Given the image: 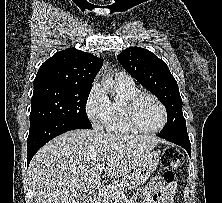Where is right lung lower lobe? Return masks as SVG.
<instances>
[{"instance_id": "1", "label": "right lung lower lobe", "mask_w": 222, "mask_h": 203, "mask_svg": "<svg viewBox=\"0 0 222 203\" xmlns=\"http://www.w3.org/2000/svg\"><path fill=\"white\" fill-rule=\"evenodd\" d=\"M91 124L71 120L49 119L30 125L27 139V166L35 153L54 137L74 129H90Z\"/></svg>"}]
</instances>
